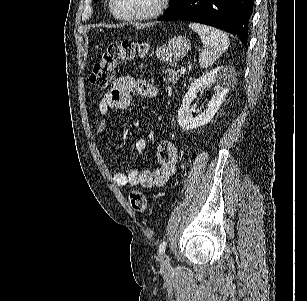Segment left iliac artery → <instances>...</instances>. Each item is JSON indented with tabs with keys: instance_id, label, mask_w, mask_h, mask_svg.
<instances>
[{
	"instance_id": "obj_1",
	"label": "left iliac artery",
	"mask_w": 307,
	"mask_h": 301,
	"mask_svg": "<svg viewBox=\"0 0 307 301\" xmlns=\"http://www.w3.org/2000/svg\"><path fill=\"white\" fill-rule=\"evenodd\" d=\"M166 245H167L166 241H163V242L159 245V249H158L159 255H161V254L165 251Z\"/></svg>"
}]
</instances>
